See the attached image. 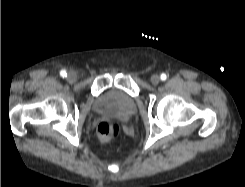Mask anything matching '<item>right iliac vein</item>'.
<instances>
[{
  "label": "right iliac vein",
  "mask_w": 245,
  "mask_h": 187,
  "mask_svg": "<svg viewBox=\"0 0 245 187\" xmlns=\"http://www.w3.org/2000/svg\"><path fill=\"white\" fill-rule=\"evenodd\" d=\"M77 79V75L74 73V72H69L68 75H67V80L70 82V83H73L75 82Z\"/></svg>",
  "instance_id": "obj_1"
}]
</instances>
